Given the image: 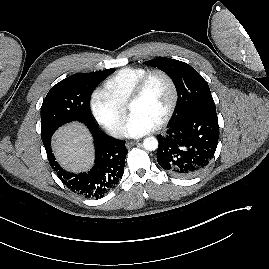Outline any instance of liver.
<instances>
[{
  "instance_id": "1",
  "label": "liver",
  "mask_w": 269,
  "mask_h": 269,
  "mask_svg": "<svg viewBox=\"0 0 269 269\" xmlns=\"http://www.w3.org/2000/svg\"><path fill=\"white\" fill-rule=\"evenodd\" d=\"M53 149L60 164L71 171H81L93 164L91 136L80 123L60 128L53 137Z\"/></svg>"
}]
</instances>
